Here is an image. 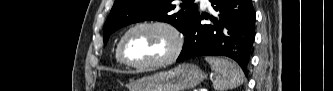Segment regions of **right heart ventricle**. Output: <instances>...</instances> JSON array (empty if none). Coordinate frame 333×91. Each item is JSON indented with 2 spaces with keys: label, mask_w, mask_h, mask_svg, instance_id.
<instances>
[{
  "label": "right heart ventricle",
  "mask_w": 333,
  "mask_h": 91,
  "mask_svg": "<svg viewBox=\"0 0 333 91\" xmlns=\"http://www.w3.org/2000/svg\"><path fill=\"white\" fill-rule=\"evenodd\" d=\"M118 45L119 44H117V47H116L115 58H116L118 64L123 65L124 63L121 61V59L118 55Z\"/></svg>",
  "instance_id": "right-heart-ventricle-1"
}]
</instances>
